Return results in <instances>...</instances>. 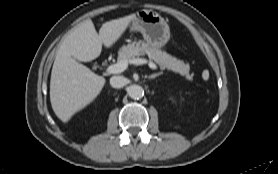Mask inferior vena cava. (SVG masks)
Returning a JSON list of instances; mask_svg holds the SVG:
<instances>
[{"instance_id": "602c4592", "label": "inferior vena cava", "mask_w": 278, "mask_h": 174, "mask_svg": "<svg viewBox=\"0 0 278 174\" xmlns=\"http://www.w3.org/2000/svg\"><path fill=\"white\" fill-rule=\"evenodd\" d=\"M127 84V79L123 76H113L110 79V85L113 88H122Z\"/></svg>"}]
</instances>
